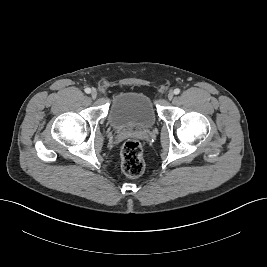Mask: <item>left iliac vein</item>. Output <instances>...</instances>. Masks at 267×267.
Segmentation results:
<instances>
[{"label":"left iliac vein","instance_id":"4c4485c4","mask_svg":"<svg viewBox=\"0 0 267 267\" xmlns=\"http://www.w3.org/2000/svg\"><path fill=\"white\" fill-rule=\"evenodd\" d=\"M173 97H174V92H173V91H170V92L168 93V99H169V100H172Z\"/></svg>","mask_w":267,"mask_h":267}]
</instances>
